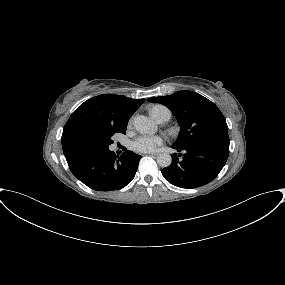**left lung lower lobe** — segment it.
Here are the masks:
<instances>
[{"mask_svg":"<svg viewBox=\"0 0 285 285\" xmlns=\"http://www.w3.org/2000/svg\"><path fill=\"white\" fill-rule=\"evenodd\" d=\"M172 148L185 154L182 160L173 154L171 165L161 170L162 175L172 185L186 189L197 188L214 180L229 155V146L211 142Z\"/></svg>","mask_w":285,"mask_h":285,"instance_id":"0a47b994","label":"left lung lower lobe"}]
</instances>
